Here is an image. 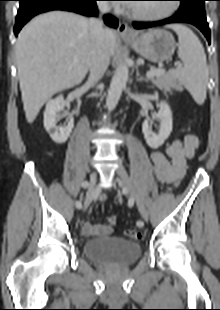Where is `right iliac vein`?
Returning a JSON list of instances; mask_svg holds the SVG:
<instances>
[{"instance_id": "obj_1", "label": "right iliac vein", "mask_w": 220, "mask_h": 310, "mask_svg": "<svg viewBox=\"0 0 220 310\" xmlns=\"http://www.w3.org/2000/svg\"><path fill=\"white\" fill-rule=\"evenodd\" d=\"M96 181H97V173L93 172L90 176V182L88 184V189H87L86 196H85L84 208H83L84 211L87 210V208L89 207V205L92 202V199L95 195Z\"/></svg>"}]
</instances>
